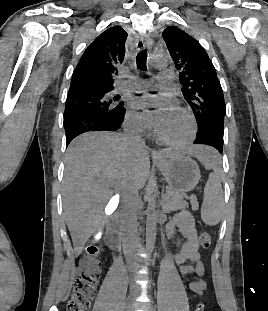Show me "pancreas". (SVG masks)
I'll list each match as a JSON object with an SVG mask.
<instances>
[{
  "instance_id": "1",
  "label": "pancreas",
  "mask_w": 268,
  "mask_h": 311,
  "mask_svg": "<svg viewBox=\"0 0 268 311\" xmlns=\"http://www.w3.org/2000/svg\"><path fill=\"white\" fill-rule=\"evenodd\" d=\"M188 208L187 202L183 199L182 194L167 189L162 198V209L165 213L174 212Z\"/></svg>"
}]
</instances>
